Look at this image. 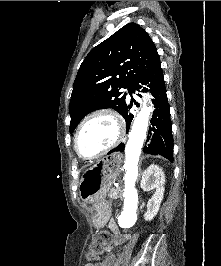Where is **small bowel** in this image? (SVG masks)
Segmentation results:
<instances>
[{"instance_id":"1","label":"small bowel","mask_w":221,"mask_h":266,"mask_svg":"<svg viewBox=\"0 0 221 266\" xmlns=\"http://www.w3.org/2000/svg\"><path fill=\"white\" fill-rule=\"evenodd\" d=\"M130 239V235L129 234H121V233H116V236H115V242L117 244H121L127 240ZM113 249L112 246H108L106 248V252H111ZM115 262V256L113 254H110L103 262H100L98 264H96L95 266H113ZM85 266H94L93 264H87Z\"/></svg>"}]
</instances>
